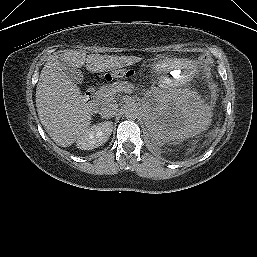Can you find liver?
<instances>
[{"label": "liver", "mask_w": 257, "mask_h": 257, "mask_svg": "<svg viewBox=\"0 0 257 257\" xmlns=\"http://www.w3.org/2000/svg\"><path fill=\"white\" fill-rule=\"evenodd\" d=\"M81 68L92 73L108 72L132 65L135 56L87 55L85 51L64 50L48 57L36 88L39 119L53 141L60 147H70L89 128L92 112L79 87L68 78L60 64Z\"/></svg>", "instance_id": "1"}]
</instances>
